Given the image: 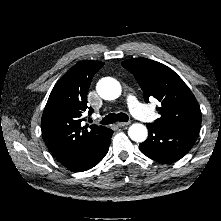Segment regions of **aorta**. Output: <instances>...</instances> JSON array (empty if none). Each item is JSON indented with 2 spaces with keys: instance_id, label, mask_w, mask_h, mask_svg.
Masks as SVG:
<instances>
[{
  "instance_id": "1",
  "label": "aorta",
  "mask_w": 221,
  "mask_h": 221,
  "mask_svg": "<svg viewBox=\"0 0 221 221\" xmlns=\"http://www.w3.org/2000/svg\"><path fill=\"white\" fill-rule=\"evenodd\" d=\"M96 90L99 96L105 100H114L121 95L120 83L110 77L99 80ZM128 135L135 142H143L148 136V131L143 124L135 123L129 127Z\"/></svg>"
}]
</instances>
